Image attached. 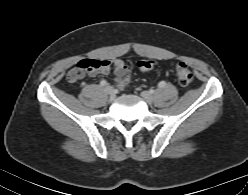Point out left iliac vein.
<instances>
[{
  "mask_svg": "<svg viewBox=\"0 0 248 195\" xmlns=\"http://www.w3.org/2000/svg\"><path fill=\"white\" fill-rule=\"evenodd\" d=\"M141 96L144 98V100L147 103H152L153 102V95L150 92L143 91V92H141Z\"/></svg>",
  "mask_w": 248,
  "mask_h": 195,
  "instance_id": "4c4485c4",
  "label": "left iliac vein"
}]
</instances>
